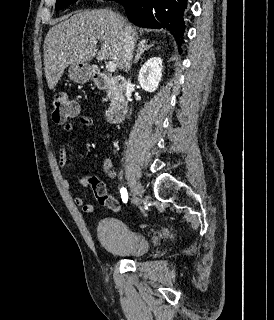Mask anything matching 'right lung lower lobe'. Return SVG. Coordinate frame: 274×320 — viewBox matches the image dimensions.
Returning <instances> with one entry per match:
<instances>
[{
  "label": "right lung lower lobe",
  "instance_id": "right-lung-lower-lobe-1",
  "mask_svg": "<svg viewBox=\"0 0 274 320\" xmlns=\"http://www.w3.org/2000/svg\"><path fill=\"white\" fill-rule=\"evenodd\" d=\"M121 3L128 19L144 28L169 30L180 48L185 23L183 20L187 0H115Z\"/></svg>",
  "mask_w": 274,
  "mask_h": 320
}]
</instances>
